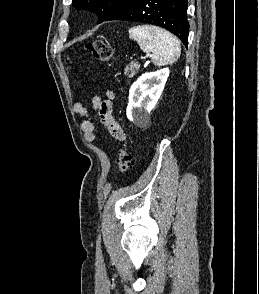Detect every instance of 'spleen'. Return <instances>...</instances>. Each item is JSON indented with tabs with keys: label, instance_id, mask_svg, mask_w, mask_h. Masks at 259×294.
Instances as JSON below:
<instances>
[{
	"label": "spleen",
	"instance_id": "3e777b00",
	"mask_svg": "<svg viewBox=\"0 0 259 294\" xmlns=\"http://www.w3.org/2000/svg\"><path fill=\"white\" fill-rule=\"evenodd\" d=\"M129 38L137 41L143 52H151L152 62L157 66L172 64L180 57L181 47L178 39L159 27H132L129 29Z\"/></svg>",
	"mask_w": 259,
	"mask_h": 294
}]
</instances>
